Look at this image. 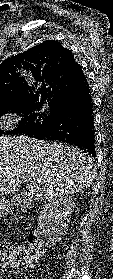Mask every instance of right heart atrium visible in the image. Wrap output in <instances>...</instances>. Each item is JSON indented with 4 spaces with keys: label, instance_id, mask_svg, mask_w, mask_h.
<instances>
[{
    "label": "right heart atrium",
    "instance_id": "1",
    "mask_svg": "<svg viewBox=\"0 0 113 279\" xmlns=\"http://www.w3.org/2000/svg\"><path fill=\"white\" fill-rule=\"evenodd\" d=\"M22 115L20 112L10 109L3 113L0 118V124L5 129L15 128L21 121Z\"/></svg>",
    "mask_w": 113,
    "mask_h": 279
}]
</instances>
